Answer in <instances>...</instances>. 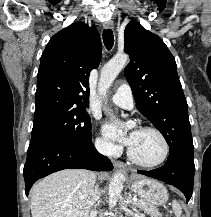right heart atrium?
<instances>
[{"mask_svg": "<svg viewBox=\"0 0 211 217\" xmlns=\"http://www.w3.org/2000/svg\"><path fill=\"white\" fill-rule=\"evenodd\" d=\"M95 146L99 152L106 155H117L120 152V147L101 137L96 139Z\"/></svg>", "mask_w": 211, "mask_h": 217, "instance_id": "d8ad5b80", "label": "right heart atrium"}]
</instances>
